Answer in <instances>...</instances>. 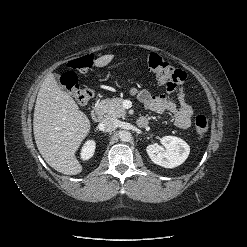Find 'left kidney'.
<instances>
[{"instance_id":"1","label":"left kidney","mask_w":247,"mask_h":247,"mask_svg":"<svg viewBox=\"0 0 247 247\" xmlns=\"http://www.w3.org/2000/svg\"><path fill=\"white\" fill-rule=\"evenodd\" d=\"M162 148L157 143L148 145L147 154L151 161L165 168H174L181 165L189 156L190 146L181 138L164 136L161 138Z\"/></svg>"}]
</instances>
